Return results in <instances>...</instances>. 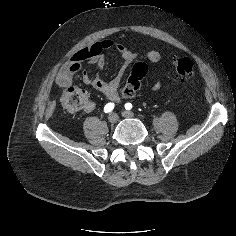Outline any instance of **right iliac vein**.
Returning a JSON list of instances; mask_svg holds the SVG:
<instances>
[{
	"label": "right iliac vein",
	"instance_id": "63e3f726",
	"mask_svg": "<svg viewBox=\"0 0 236 236\" xmlns=\"http://www.w3.org/2000/svg\"><path fill=\"white\" fill-rule=\"evenodd\" d=\"M108 121L111 123V124H114L118 121V115L116 113H111L108 117Z\"/></svg>",
	"mask_w": 236,
	"mask_h": 236
}]
</instances>
